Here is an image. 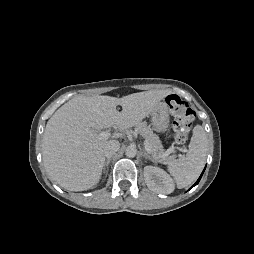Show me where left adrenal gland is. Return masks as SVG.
<instances>
[{
  "mask_svg": "<svg viewBox=\"0 0 254 254\" xmlns=\"http://www.w3.org/2000/svg\"><path fill=\"white\" fill-rule=\"evenodd\" d=\"M142 156H143L144 158H147V159L151 160L152 162H155V161L153 160V158H152L145 150H143Z\"/></svg>",
  "mask_w": 254,
  "mask_h": 254,
  "instance_id": "left-adrenal-gland-1",
  "label": "left adrenal gland"
}]
</instances>
